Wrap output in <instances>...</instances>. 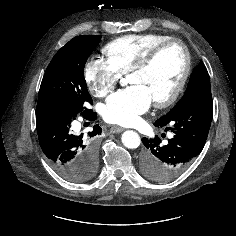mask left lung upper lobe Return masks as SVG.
<instances>
[{
	"label": "left lung upper lobe",
	"instance_id": "obj_1",
	"mask_svg": "<svg viewBox=\"0 0 236 236\" xmlns=\"http://www.w3.org/2000/svg\"><path fill=\"white\" fill-rule=\"evenodd\" d=\"M211 92V86L209 81V75L207 69L202 61L193 70L190 81L188 83L187 90L180 101L171 109L169 113L159 118L157 121L166 120L178 113L181 109L187 106L191 101L199 97L200 95Z\"/></svg>",
	"mask_w": 236,
	"mask_h": 236
}]
</instances>
